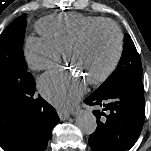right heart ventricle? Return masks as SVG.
<instances>
[{
	"mask_svg": "<svg viewBox=\"0 0 151 151\" xmlns=\"http://www.w3.org/2000/svg\"><path fill=\"white\" fill-rule=\"evenodd\" d=\"M102 20L106 19L78 13L55 14L40 19L36 28L42 38L63 51L66 44L85 28Z\"/></svg>",
	"mask_w": 151,
	"mask_h": 151,
	"instance_id": "right-heart-ventricle-1",
	"label": "right heart ventricle"
}]
</instances>
